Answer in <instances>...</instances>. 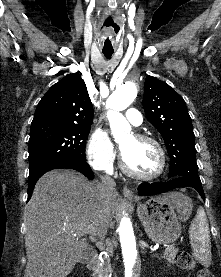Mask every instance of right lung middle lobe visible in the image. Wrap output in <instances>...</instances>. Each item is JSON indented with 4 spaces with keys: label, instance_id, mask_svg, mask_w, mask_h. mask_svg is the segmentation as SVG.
Returning <instances> with one entry per match:
<instances>
[{
    "label": "right lung middle lobe",
    "instance_id": "right-lung-middle-lobe-1",
    "mask_svg": "<svg viewBox=\"0 0 221 277\" xmlns=\"http://www.w3.org/2000/svg\"><path fill=\"white\" fill-rule=\"evenodd\" d=\"M91 126H32L29 139V176L72 159L85 160L86 139Z\"/></svg>",
    "mask_w": 221,
    "mask_h": 277
}]
</instances>
